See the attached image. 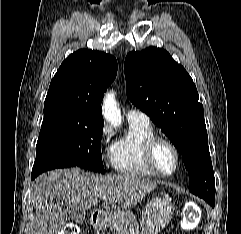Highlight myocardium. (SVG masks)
Masks as SVG:
<instances>
[{
	"instance_id": "obj_1",
	"label": "myocardium",
	"mask_w": 241,
	"mask_h": 234,
	"mask_svg": "<svg viewBox=\"0 0 241 234\" xmlns=\"http://www.w3.org/2000/svg\"><path fill=\"white\" fill-rule=\"evenodd\" d=\"M160 144H166L167 146H169L175 155V166H174L173 170L170 172L162 171L156 163L155 153H156L157 147ZM144 159H145L147 166L156 175L161 176V177H169V176L174 175L176 173V171L178 170V168L180 166L181 156H180L178 147L172 140H170L167 137L155 135V136L151 137L145 144Z\"/></svg>"
}]
</instances>
